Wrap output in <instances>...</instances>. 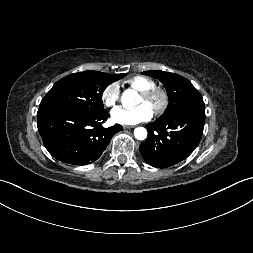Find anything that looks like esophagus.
Instances as JSON below:
<instances>
[{
	"mask_svg": "<svg viewBox=\"0 0 253 253\" xmlns=\"http://www.w3.org/2000/svg\"><path fill=\"white\" fill-rule=\"evenodd\" d=\"M135 126H133V125H124L123 126V128L124 129H132V128H134Z\"/></svg>",
	"mask_w": 253,
	"mask_h": 253,
	"instance_id": "1",
	"label": "esophagus"
}]
</instances>
